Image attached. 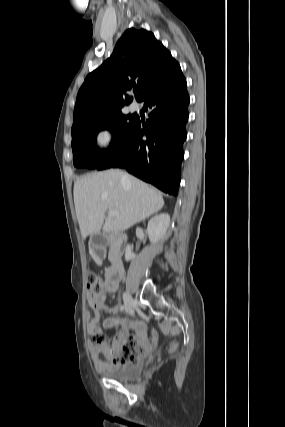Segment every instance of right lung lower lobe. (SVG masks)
Returning a JSON list of instances; mask_svg holds the SVG:
<instances>
[{"instance_id":"right-lung-lower-lobe-1","label":"right lung lower lobe","mask_w":285,"mask_h":427,"mask_svg":"<svg viewBox=\"0 0 285 427\" xmlns=\"http://www.w3.org/2000/svg\"><path fill=\"white\" fill-rule=\"evenodd\" d=\"M149 119L135 123L119 148L96 168H125L138 178L176 196L180 184L189 96L180 66L141 96Z\"/></svg>"}]
</instances>
